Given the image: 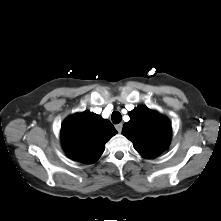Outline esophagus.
I'll use <instances>...</instances> for the list:
<instances>
[{
  "instance_id": "1",
  "label": "esophagus",
  "mask_w": 221,
  "mask_h": 221,
  "mask_svg": "<svg viewBox=\"0 0 221 221\" xmlns=\"http://www.w3.org/2000/svg\"><path fill=\"white\" fill-rule=\"evenodd\" d=\"M122 127H123L122 123H119V124H117V125L115 126L116 130H117L119 133L122 131Z\"/></svg>"
}]
</instances>
